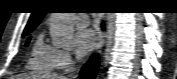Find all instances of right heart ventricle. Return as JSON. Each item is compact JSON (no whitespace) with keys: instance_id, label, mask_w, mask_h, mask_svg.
<instances>
[{"instance_id":"obj_1","label":"right heart ventricle","mask_w":177,"mask_h":79,"mask_svg":"<svg viewBox=\"0 0 177 79\" xmlns=\"http://www.w3.org/2000/svg\"><path fill=\"white\" fill-rule=\"evenodd\" d=\"M56 48L45 44L42 35H39L31 49L26 68L38 73H51L56 66Z\"/></svg>"}]
</instances>
